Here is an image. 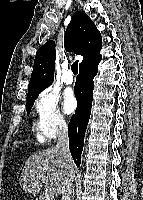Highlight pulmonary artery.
<instances>
[{
    "label": "pulmonary artery",
    "mask_w": 143,
    "mask_h": 200,
    "mask_svg": "<svg viewBox=\"0 0 143 200\" xmlns=\"http://www.w3.org/2000/svg\"><path fill=\"white\" fill-rule=\"evenodd\" d=\"M63 81L66 84H72L74 82V78H73V75H72L70 70L66 71L64 78H63Z\"/></svg>",
    "instance_id": "1"
}]
</instances>
